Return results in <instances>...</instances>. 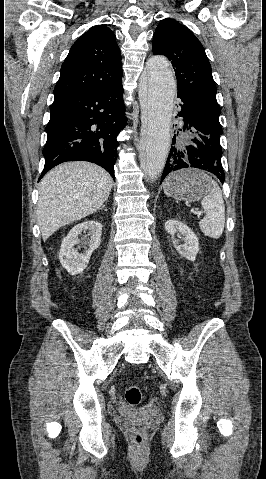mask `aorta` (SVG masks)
Returning <instances> with one entry per match:
<instances>
[{"label": "aorta", "mask_w": 266, "mask_h": 479, "mask_svg": "<svg viewBox=\"0 0 266 479\" xmlns=\"http://www.w3.org/2000/svg\"><path fill=\"white\" fill-rule=\"evenodd\" d=\"M144 107L145 165L150 179L163 171L170 146V129L176 81L170 63L161 56L151 57L139 85Z\"/></svg>", "instance_id": "obj_1"}]
</instances>
